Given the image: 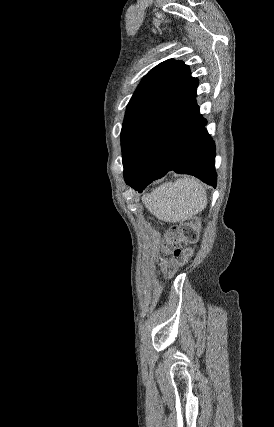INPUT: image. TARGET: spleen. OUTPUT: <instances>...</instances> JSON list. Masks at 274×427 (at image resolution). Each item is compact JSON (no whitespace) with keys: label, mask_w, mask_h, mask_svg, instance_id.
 Instances as JSON below:
<instances>
[{"label":"spleen","mask_w":274,"mask_h":427,"mask_svg":"<svg viewBox=\"0 0 274 427\" xmlns=\"http://www.w3.org/2000/svg\"><path fill=\"white\" fill-rule=\"evenodd\" d=\"M147 210L162 221L190 219L206 208V192L202 182L184 176L176 182H167L142 198Z\"/></svg>","instance_id":"1"}]
</instances>
